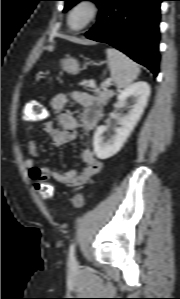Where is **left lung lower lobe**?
Wrapping results in <instances>:
<instances>
[{"label":"left lung lower lobe","mask_w":180,"mask_h":299,"mask_svg":"<svg viewBox=\"0 0 180 299\" xmlns=\"http://www.w3.org/2000/svg\"><path fill=\"white\" fill-rule=\"evenodd\" d=\"M162 1L165 0H103L98 6V22L85 36L110 44L156 76Z\"/></svg>","instance_id":"0a47b994"}]
</instances>
